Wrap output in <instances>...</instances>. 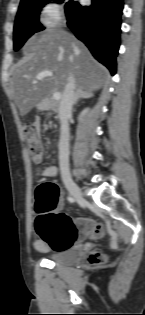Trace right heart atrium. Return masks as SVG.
<instances>
[{
    "instance_id": "d8ad5b80",
    "label": "right heart atrium",
    "mask_w": 145,
    "mask_h": 315,
    "mask_svg": "<svg viewBox=\"0 0 145 315\" xmlns=\"http://www.w3.org/2000/svg\"><path fill=\"white\" fill-rule=\"evenodd\" d=\"M65 22L62 6L57 0H46L38 11V23L46 28H58Z\"/></svg>"
}]
</instances>
